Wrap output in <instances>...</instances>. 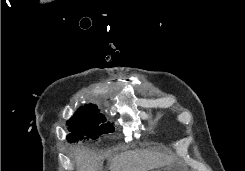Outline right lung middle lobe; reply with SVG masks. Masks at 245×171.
<instances>
[{"label":"right lung middle lobe","instance_id":"obj_1","mask_svg":"<svg viewBox=\"0 0 245 171\" xmlns=\"http://www.w3.org/2000/svg\"><path fill=\"white\" fill-rule=\"evenodd\" d=\"M99 110L95 105H85L77 110L75 115L67 122L68 129L71 132L67 139L70 142H77L86 139H97L102 134H108L114 131L112 124H103L105 118L98 114Z\"/></svg>","mask_w":245,"mask_h":171}]
</instances>
